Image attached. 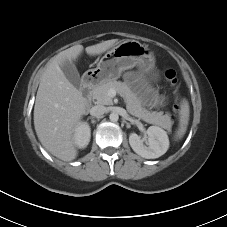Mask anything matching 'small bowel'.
<instances>
[{
	"label": "small bowel",
	"instance_id": "c3829d8e",
	"mask_svg": "<svg viewBox=\"0 0 227 227\" xmlns=\"http://www.w3.org/2000/svg\"><path fill=\"white\" fill-rule=\"evenodd\" d=\"M126 87L132 90L133 94L143 102V104L152 106H161L164 104L163 98L157 91L149 87L146 80L140 78L139 74L129 71L125 74Z\"/></svg>",
	"mask_w": 227,
	"mask_h": 227
}]
</instances>
